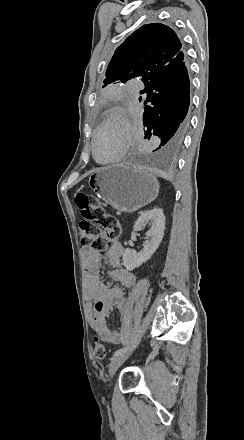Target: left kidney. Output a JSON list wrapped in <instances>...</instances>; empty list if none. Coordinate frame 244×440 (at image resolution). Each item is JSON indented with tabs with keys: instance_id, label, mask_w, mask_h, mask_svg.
I'll use <instances>...</instances> for the list:
<instances>
[{
	"instance_id": "left-kidney-1",
	"label": "left kidney",
	"mask_w": 244,
	"mask_h": 440,
	"mask_svg": "<svg viewBox=\"0 0 244 440\" xmlns=\"http://www.w3.org/2000/svg\"><path fill=\"white\" fill-rule=\"evenodd\" d=\"M147 222H153V228L151 232H147V236H150V238L147 240L145 246H143L142 252L137 254L135 250L126 248L123 254V266H125L126 270H130V272L131 270H135V268H139L143 262L150 260L152 254L156 252L160 242H162L165 230V216L162 210H160V208H153V210L143 212L138 220H136L133 226V232L143 230Z\"/></svg>"
}]
</instances>
